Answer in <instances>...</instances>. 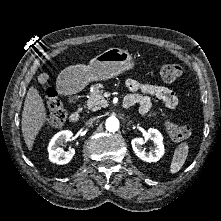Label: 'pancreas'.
Returning <instances> with one entry per match:
<instances>
[{
    "instance_id": "cf45deb5",
    "label": "pancreas",
    "mask_w": 221,
    "mask_h": 221,
    "mask_svg": "<svg viewBox=\"0 0 221 221\" xmlns=\"http://www.w3.org/2000/svg\"><path fill=\"white\" fill-rule=\"evenodd\" d=\"M103 85L97 83L93 85L90 96L87 100V108L97 111L102 107L108 106V101L103 97Z\"/></svg>"
}]
</instances>
